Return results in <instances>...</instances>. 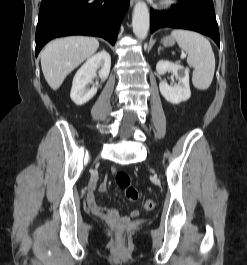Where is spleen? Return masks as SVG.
Returning a JSON list of instances; mask_svg holds the SVG:
<instances>
[{"label": "spleen", "mask_w": 247, "mask_h": 265, "mask_svg": "<svg viewBox=\"0 0 247 265\" xmlns=\"http://www.w3.org/2000/svg\"><path fill=\"white\" fill-rule=\"evenodd\" d=\"M179 47L188 55L187 63L194 68L192 82L198 90H207L215 72V56L210 42L201 34L176 29L171 32Z\"/></svg>", "instance_id": "3e777b00"}]
</instances>
